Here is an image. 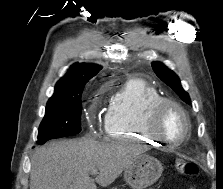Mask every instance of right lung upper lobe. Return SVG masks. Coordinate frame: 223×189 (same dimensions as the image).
Masks as SVG:
<instances>
[{"mask_svg":"<svg viewBox=\"0 0 223 189\" xmlns=\"http://www.w3.org/2000/svg\"><path fill=\"white\" fill-rule=\"evenodd\" d=\"M100 69L101 67L95 64H73L56 84L53 96L72 95L83 90L89 79L94 77Z\"/></svg>","mask_w":223,"mask_h":189,"instance_id":"right-lung-upper-lobe-1","label":"right lung upper lobe"}]
</instances>
